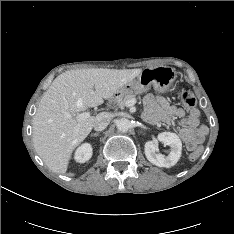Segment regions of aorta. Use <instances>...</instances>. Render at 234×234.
Returning a JSON list of instances; mask_svg holds the SVG:
<instances>
[{
    "label": "aorta",
    "instance_id": "762f6f07",
    "mask_svg": "<svg viewBox=\"0 0 234 234\" xmlns=\"http://www.w3.org/2000/svg\"><path fill=\"white\" fill-rule=\"evenodd\" d=\"M117 129L121 132H127L131 128V122L127 118H121L116 123Z\"/></svg>",
    "mask_w": 234,
    "mask_h": 234
}]
</instances>
